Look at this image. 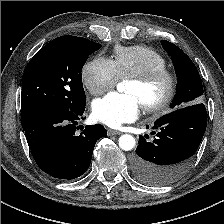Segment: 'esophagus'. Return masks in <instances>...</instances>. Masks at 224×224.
Listing matches in <instances>:
<instances>
[{
	"label": "esophagus",
	"mask_w": 224,
	"mask_h": 224,
	"mask_svg": "<svg viewBox=\"0 0 224 224\" xmlns=\"http://www.w3.org/2000/svg\"><path fill=\"white\" fill-rule=\"evenodd\" d=\"M121 133L115 130H108V136H113V135H120Z\"/></svg>",
	"instance_id": "1"
}]
</instances>
